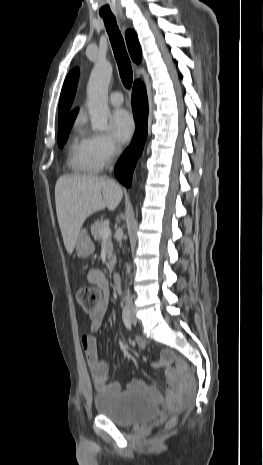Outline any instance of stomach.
I'll return each mask as SVG.
<instances>
[{
	"instance_id": "0dacf381",
	"label": "stomach",
	"mask_w": 263,
	"mask_h": 465,
	"mask_svg": "<svg viewBox=\"0 0 263 465\" xmlns=\"http://www.w3.org/2000/svg\"><path fill=\"white\" fill-rule=\"evenodd\" d=\"M77 254L82 258H87L93 254L95 246L86 229H82L75 244Z\"/></svg>"
}]
</instances>
